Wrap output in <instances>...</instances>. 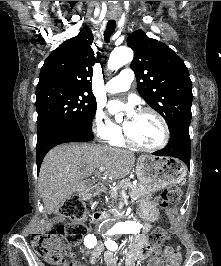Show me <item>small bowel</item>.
<instances>
[{
  "mask_svg": "<svg viewBox=\"0 0 221 266\" xmlns=\"http://www.w3.org/2000/svg\"><path fill=\"white\" fill-rule=\"evenodd\" d=\"M61 221L62 217H58ZM172 250V247H159L149 246L145 233H140L134 236V240L129 244L126 256H125V266H135V263L138 259H145L147 258L151 252L154 253V256L150 258L148 266H169L168 259H169V252ZM66 252L72 256V254L66 250ZM102 253V249L97 247L94 250L88 251L87 256L92 260L95 261ZM104 260L106 266H120L117 260L116 254L110 251H106L104 253ZM72 266H84L80 262H73Z\"/></svg>",
  "mask_w": 221,
  "mask_h": 266,
  "instance_id": "obj_1",
  "label": "small bowel"
}]
</instances>
